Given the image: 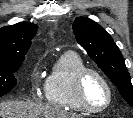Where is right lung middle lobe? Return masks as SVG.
<instances>
[{
  "instance_id": "right-lung-middle-lobe-1",
  "label": "right lung middle lobe",
  "mask_w": 133,
  "mask_h": 118,
  "mask_svg": "<svg viewBox=\"0 0 133 118\" xmlns=\"http://www.w3.org/2000/svg\"><path fill=\"white\" fill-rule=\"evenodd\" d=\"M22 61L0 63V97L8 93L17 84L14 73L21 66Z\"/></svg>"
}]
</instances>
